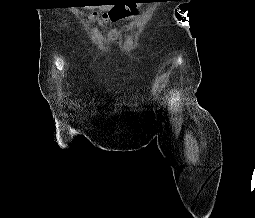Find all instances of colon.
Here are the masks:
<instances>
[{"label": "colon", "mask_w": 255, "mask_h": 218, "mask_svg": "<svg viewBox=\"0 0 255 218\" xmlns=\"http://www.w3.org/2000/svg\"><path fill=\"white\" fill-rule=\"evenodd\" d=\"M137 13L136 2L129 0L125 4L115 6L109 12L103 14V17L111 21H119L137 15Z\"/></svg>", "instance_id": "colon-1"}]
</instances>
